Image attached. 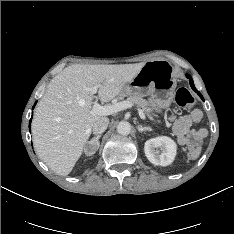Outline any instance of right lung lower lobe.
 <instances>
[{
    "instance_id": "obj_1",
    "label": "right lung lower lobe",
    "mask_w": 234,
    "mask_h": 234,
    "mask_svg": "<svg viewBox=\"0 0 234 234\" xmlns=\"http://www.w3.org/2000/svg\"><path fill=\"white\" fill-rule=\"evenodd\" d=\"M34 108V107H33ZM31 123V120H30V122H29V124ZM29 128H30V125H29Z\"/></svg>"
}]
</instances>
